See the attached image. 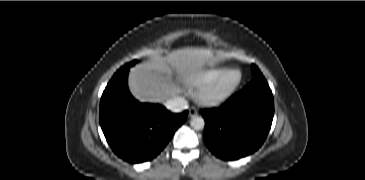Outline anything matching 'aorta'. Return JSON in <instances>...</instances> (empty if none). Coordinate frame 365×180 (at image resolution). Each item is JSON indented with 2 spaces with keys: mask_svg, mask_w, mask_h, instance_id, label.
I'll return each instance as SVG.
<instances>
[{
  "mask_svg": "<svg viewBox=\"0 0 365 180\" xmlns=\"http://www.w3.org/2000/svg\"><path fill=\"white\" fill-rule=\"evenodd\" d=\"M190 125L195 130H201L205 126V121L202 117L194 116L191 119Z\"/></svg>",
  "mask_w": 365,
  "mask_h": 180,
  "instance_id": "1",
  "label": "aorta"
}]
</instances>
